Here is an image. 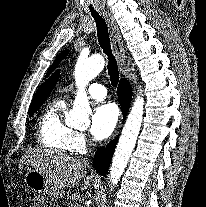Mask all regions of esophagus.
<instances>
[{
	"label": "esophagus",
	"instance_id": "34e87169",
	"mask_svg": "<svg viewBox=\"0 0 206 207\" xmlns=\"http://www.w3.org/2000/svg\"><path fill=\"white\" fill-rule=\"evenodd\" d=\"M103 16L105 17L107 25L110 30V35L116 52L118 65L120 69H122L125 64V49H124V44L119 28L110 13L104 11ZM120 126H121V119L118 122L117 128L113 134V138L117 135Z\"/></svg>",
	"mask_w": 206,
	"mask_h": 207
}]
</instances>
